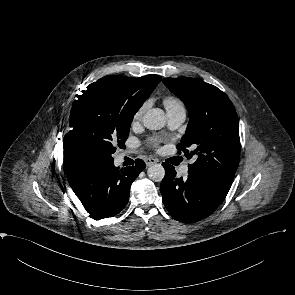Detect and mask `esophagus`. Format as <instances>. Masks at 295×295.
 Wrapping results in <instances>:
<instances>
[{"instance_id":"34e87169","label":"esophagus","mask_w":295,"mask_h":295,"mask_svg":"<svg viewBox=\"0 0 295 295\" xmlns=\"http://www.w3.org/2000/svg\"><path fill=\"white\" fill-rule=\"evenodd\" d=\"M157 162H158V160L156 158H153V157L145 158V163H146L147 166L153 165V164H155Z\"/></svg>"}]
</instances>
